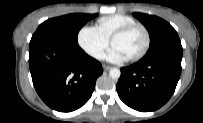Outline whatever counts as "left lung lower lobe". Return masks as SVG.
<instances>
[{
	"label": "left lung lower lobe",
	"mask_w": 203,
	"mask_h": 123,
	"mask_svg": "<svg viewBox=\"0 0 203 123\" xmlns=\"http://www.w3.org/2000/svg\"><path fill=\"white\" fill-rule=\"evenodd\" d=\"M181 42L148 52L141 60L121 68L117 83L119 98L129 107L154 111L172 96L181 73Z\"/></svg>",
	"instance_id": "obj_1"
}]
</instances>
